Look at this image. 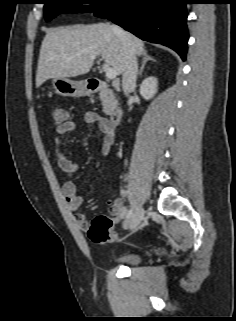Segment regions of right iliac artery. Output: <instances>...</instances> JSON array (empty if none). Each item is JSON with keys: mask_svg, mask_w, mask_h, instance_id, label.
Wrapping results in <instances>:
<instances>
[{"mask_svg": "<svg viewBox=\"0 0 236 321\" xmlns=\"http://www.w3.org/2000/svg\"><path fill=\"white\" fill-rule=\"evenodd\" d=\"M126 218H129L132 215V210L125 211Z\"/></svg>", "mask_w": 236, "mask_h": 321, "instance_id": "1", "label": "right iliac artery"}]
</instances>
